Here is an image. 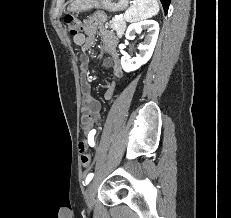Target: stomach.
<instances>
[{
    "label": "stomach",
    "instance_id": "1",
    "mask_svg": "<svg viewBox=\"0 0 231 218\" xmlns=\"http://www.w3.org/2000/svg\"><path fill=\"white\" fill-rule=\"evenodd\" d=\"M128 3L129 0H70L68 10L80 12L92 8H102L109 12H119L125 10Z\"/></svg>",
    "mask_w": 231,
    "mask_h": 218
}]
</instances>
